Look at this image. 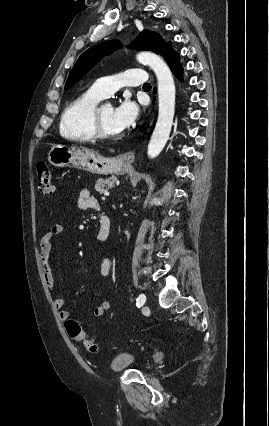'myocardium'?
<instances>
[{"label":"myocardium","mask_w":269,"mask_h":426,"mask_svg":"<svg viewBox=\"0 0 269 426\" xmlns=\"http://www.w3.org/2000/svg\"><path fill=\"white\" fill-rule=\"evenodd\" d=\"M102 106H96L93 113H92V118H91V126L94 132V138L99 139L101 141H113L119 138L118 135L116 136H111L108 135L101 124V120H100V110H101Z\"/></svg>","instance_id":"obj_1"}]
</instances>
